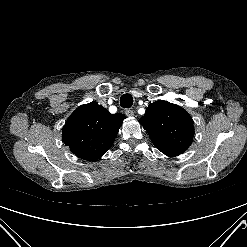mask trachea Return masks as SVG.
I'll list each match as a JSON object with an SVG mask.
<instances>
[{"instance_id":"obj_1","label":"trachea","mask_w":247,"mask_h":247,"mask_svg":"<svg viewBox=\"0 0 247 247\" xmlns=\"http://www.w3.org/2000/svg\"><path fill=\"white\" fill-rule=\"evenodd\" d=\"M133 104V97L130 94H124L120 98V105L123 108H130Z\"/></svg>"}]
</instances>
